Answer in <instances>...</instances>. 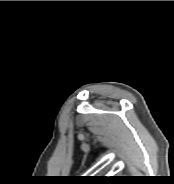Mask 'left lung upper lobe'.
I'll list each match as a JSON object with an SVG mask.
<instances>
[{"mask_svg":"<svg viewBox=\"0 0 174 184\" xmlns=\"http://www.w3.org/2000/svg\"><path fill=\"white\" fill-rule=\"evenodd\" d=\"M114 178L112 177H94V181H101V182H108V181H113Z\"/></svg>","mask_w":174,"mask_h":184,"instance_id":"obj_1","label":"left lung upper lobe"}]
</instances>
